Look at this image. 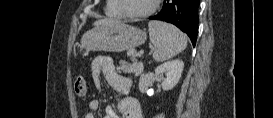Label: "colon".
<instances>
[{
  "instance_id": "colon-1",
  "label": "colon",
  "mask_w": 273,
  "mask_h": 118,
  "mask_svg": "<svg viewBox=\"0 0 273 118\" xmlns=\"http://www.w3.org/2000/svg\"><path fill=\"white\" fill-rule=\"evenodd\" d=\"M74 90L78 96H84L86 94V81L84 77L78 76L74 82Z\"/></svg>"
}]
</instances>
